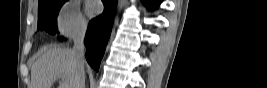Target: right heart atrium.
<instances>
[{
  "mask_svg": "<svg viewBox=\"0 0 267 88\" xmlns=\"http://www.w3.org/2000/svg\"><path fill=\"white\" fill-rule=\"evenodd\" d=\"M57 27L61 34L68 37L81 36L87 23L76 3L66 4L57 15Z\"/></svg>",
  "mask_w": 267,
  "mask_h": 88,
  "instance_id": "right-heart-atrium-1",
  "label": "right heart atrium"
}]
</instances>
